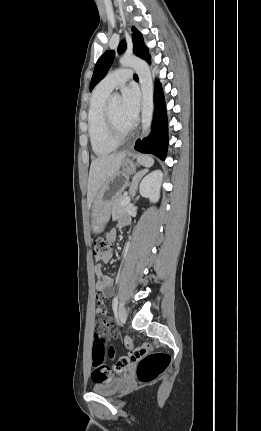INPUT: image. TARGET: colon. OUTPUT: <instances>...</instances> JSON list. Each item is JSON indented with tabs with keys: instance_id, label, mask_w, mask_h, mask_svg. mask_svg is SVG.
<instances>
[{
	"instance_id": "1",
	"label": "colon",
	"mask_w": 261,
	"mask_h": 431,
	"mask_svg": "<svg viewBox=\"0 0 261 431\" xmlns=\"http://www.w3.org/2000/svg\"><path fill=\"white\" fill-rule=\"evenodd\" d=\"M110 251L109 242L103 238H98L93 243V254L96 258H101ZM114 348L109 349L110 357L114 356ZM104 346L101 338L95 334L92 350L91 382L97 385L101 383L119 382L120 373H125L126 365L130 362H137V378L139 382L148 384L154 382L170 364V356L161 352H150V345L135 347L130 349L128 356L121 357L113 363H104Z\"/></svg>"
}]
</instances>
